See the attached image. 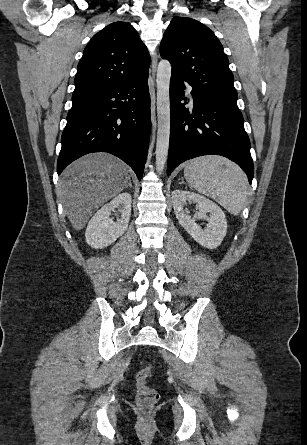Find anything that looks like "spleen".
I'll use <instances>...</instances> for the list:
<instances>
[{
    "mask_svg": "<svg viewBox=\"0 0 307 445\" xmlns=\"http://www.w3.org/2000/svg\"><path fill=\"white\" fill-rule=\"evenodd\" d=\"M184 176L192 188L210 196L231 214H239L247 202V176L236 162L224 156L192 158L185 164Z\"/></svg>",
    "mask_w": 307,
    "mask_h": 445,
    "instance_id": "1",
    "label": "spleen"
}]
</instances>
